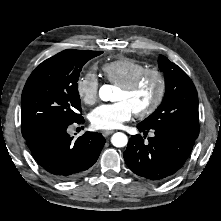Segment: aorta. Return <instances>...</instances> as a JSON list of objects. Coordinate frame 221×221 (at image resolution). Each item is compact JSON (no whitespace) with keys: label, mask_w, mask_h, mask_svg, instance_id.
<instances>
[{"label":"aorta","mask_w":221,"mask_h":221,"mask_svg":"<svg viewBox=\"0 0 221 221\" xmlns=\"http://www.w3.org/2000/svg\"><path fill=\"white\" fill-rule=\"evenodd\" d=\"M99 97L103 101H109L112 97V89L109 85H103L99 90ZM111 142L115 147H124L128 143L127 136L122 132H116L111 138Z\"/></svg>","instance_id":"1"}]
</instances>
